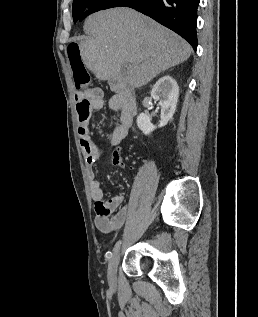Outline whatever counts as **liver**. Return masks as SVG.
<instances>
[{
  "label": "liver",
  "instance_id": "liver-1",
  "mask_svg": "<svg viewBox=\"0 0 258 317\" xmlns=\"http://www.w3.org/2000/svg\"><path fill=\"white\" fill-rule=\"evenodd\" d=\"M83 28L91 36L79 42L81 58L96 78L108 80L113 88L120 82L139 88L192 52L179 34L125 6L90 14ZM126 62L132 66L123 76Z\"/></svg>",
  "mask_w": 258,
  "mask_h": 317
}]
</instances>
